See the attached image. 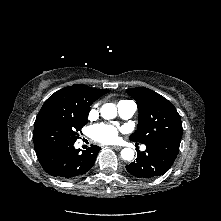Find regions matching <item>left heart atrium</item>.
<instances>
[{
	"mask_svg": "<svg viewBox=\"0 0 221 221\" xmlns=\"http://www.w3.org/2000/svg\"><path fill=\"white\" fill-rule=\"evenodd\" d=\"M92 136L96 141L101 143H112L118 137V130L112 125L98 124L93 126Z\"/></svg>",
	"mask_w": 221,
	"mask_h": 221,
	"instance_id": "obj_1",
	"label": "left heart atrium"
}]
</instances>
